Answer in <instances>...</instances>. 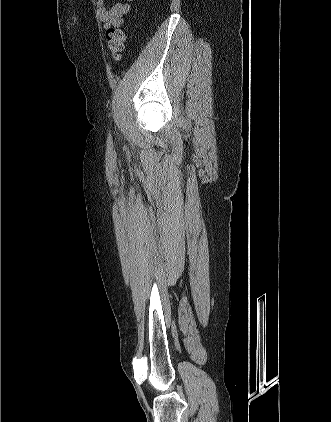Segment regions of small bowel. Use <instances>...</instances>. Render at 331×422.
<instances>
[{
	"label": "small bowel",
	"mask_w": 331,
	"mask_h": 422,
	"mask_svg": "<svg viewBox=\"0 0 331 422\" xmlns=\"http://www.w3.org/2000/svg\"><path fill=\"white\" fill-rule=\"evenodd\" d=\"M133 1L134 0H126L125 2L118 1L110 9H107L105 0H96L98 17L103 25V28L107 29L121 24L125 16L130 13V2Z\"/></svg>",
	"instance_id": "obj_1"
}]
</instances>
